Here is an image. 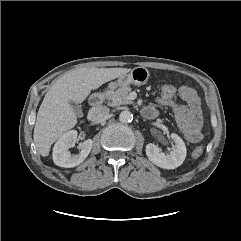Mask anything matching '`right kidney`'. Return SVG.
<instances>
[{"label":"right kidney","mask_w":241,"mask_h":241,"mask_svg":"<svg viewBox=\"0 0 241 241\" xmlns=\"http://www.w3.org/2000/svg\"><path fill=\"white\" fill-rule=\"evenodd\" d=\"M77 139V131L71 130L64 133L56 142L53 148V161L57 166L64 168H72L81 164L89 155L93 141L85 140L81 144V150L78 155H71L68 149L75 143Z\"/></svg>","instance_id":"1"}]
</instances>
